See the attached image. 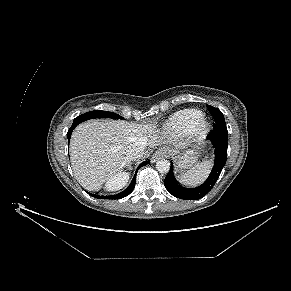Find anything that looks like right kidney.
<instances>
[{
	"label": "right kidney",
	"mask_w": 291,
	"mask_h": 291,
	"mask_svg": "<svg viewBox=\"0 0 291 291\" xmlns=\"http://www.w3.org/2000/svg\"><path fill=\"white\" fill-rule=\"evenodd\" d=\"M128 179H129L128 173L126 172L118 173L106 182L105 188L108 191L118 190L126 184Z\"/></svg>",
	"instance_id": "right-kidney-1"
}]
</instances>
